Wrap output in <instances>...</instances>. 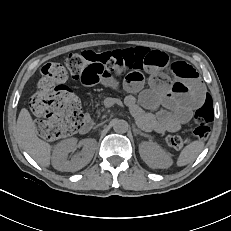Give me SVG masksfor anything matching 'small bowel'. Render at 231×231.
I'll list each match as a JSON object with an SVG mask.
<instances>
[{"instance_id":"c3829d8e","label":"small bowel","mask_w":231,"mask_h":231,"mask_svg":"<svg viewBox=\"0 0 231 231\" xmlns=\"http://www.w3.org/2000/svg\"><path fill=\"white\" fill-rule=\"evenodd\" d=\"M150 51L155 56L151 64L143 70L128 72L121 85L117 72L98 65L87 67L79 79L85 86L96 84L110 88L121 86L130 93L125 103L144 129L155 132H175L190 120L192 111L203 102L205 88L191 66L184 62L170 63L168 58L164 65L162 58L167 56L160 51ZM170 65L178 66L185 76L186 91L176 89L175 83H171L162 73V70L168 69ZM143 71L149 75V89L145 90L143 87L146 80ZM135 93H139L138 98L133 95ZM159 107L162 109L156 114L148 112Z\"/></svg>"}]
</instances>
